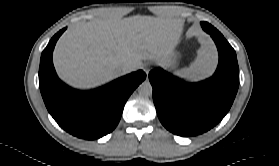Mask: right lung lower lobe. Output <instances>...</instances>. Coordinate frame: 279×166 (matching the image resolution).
<instances>
[{
    "mask_svg": "<svg viewBox=\"0 0 279 166\" xmlns=\"http://www.w3.org/2000/svg\"><path fill=\"white\" fill-rule=\"evenodd\" d=\"M63 28L56 33L41 54L40 91L48 112L68 133L83 139H98L112 132L120 121L124 105L146 78L139 70L94 91L74 90L59 80L52 55Z\"/></svg>",
    "mask_w": 279,
    "mask_h": 166,
    "instance_id": "98d812e1",
    "label": "right lung lower lobe"
}]
</instances>
